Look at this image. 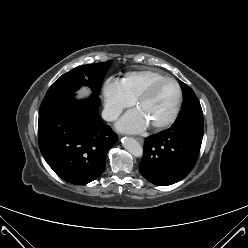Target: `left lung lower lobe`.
I'll return each mask as SVG.
<instances>
[{
    "mask_svg": "<svg viewBox=\"0 0 248 248\" xmlns=\"http://www.w3.org/2000/svg\"><path fill=\"white\" fill-rule=\"evenodd\" d=\"M203 130L202 118L174 123L169 129L147 137L139 165L142 176L161 186L187 176L197 161Z\"/></svg>",
    "mask_w": 248,
    "mask_h": 248,
    "instance_id": "obj_1",
    "label": "left lung lower lobe"
}]
</instances>
